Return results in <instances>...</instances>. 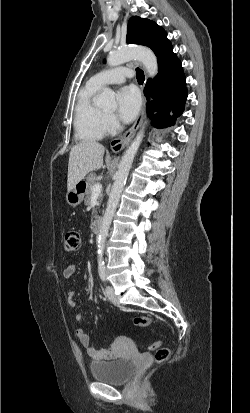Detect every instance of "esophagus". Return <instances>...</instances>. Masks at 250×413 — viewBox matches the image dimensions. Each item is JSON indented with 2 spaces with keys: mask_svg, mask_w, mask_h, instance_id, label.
I'll list each match as a JSON object with an SVG mask.
<instances>
[{
  "mask_svg": "<svg viewBox=\"0 0 250 413\" xmlns=\"http://www.w3.org/2000/svg\"><path fill=\"white\" fill-rule=\"evenodd\" d=\"M145 105H146V100L144 99L140 115L135 120L134 124L130 127V129L122 137L113 139L111 141L110 147H111V150L114 153H118L121 150H123L130 143L132 138L134 137L136 131L138 130L139 126L141 125L143 115H144Z\"/></svg>",
  "mask_w": 250,
  "mask_h": 413,
  "instance_id": "obj_1",
  "label": "esophagus"
}]
</instances>
